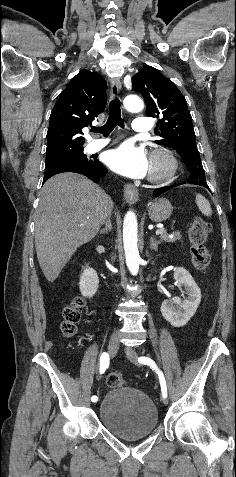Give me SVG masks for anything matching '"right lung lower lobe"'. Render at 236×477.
<instances>
[{"instance_id": "obj_1", "label": "right lung lower lobe", "mask_w": 236, "mask_h": 477, "mask_svg": "<svg viewBox=\"0 0 236 477\" xmlns=\"http://www.w3.org/2000/svg\"><path fill=\"white\" fill-rule=\"evenodd\" d=\"M64 172H73L82 174L94 182H98L102 177H104L107 173V169L101 165V163L96 160L95 163L91 166L87 167H72L68 169H61V170H52L49 172H45L43 182L47 181L50 177Z\"/></svg>"}]
</instances>
